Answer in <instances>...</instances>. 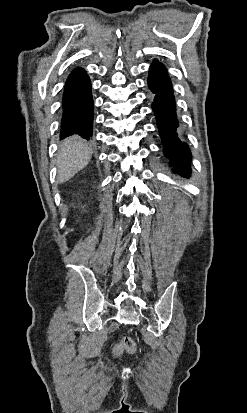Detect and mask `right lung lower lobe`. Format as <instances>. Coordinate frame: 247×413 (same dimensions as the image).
<instances>
[{"label":"right lung lower lobe","mask_w":247,"mask_h":413,"mask_svg":"<svg viewBox=\"0 0 247 413\" xmlns=\"http://www.w3.org/2000/svg\"><path fill=\"white\" fill-rule=\"evenodd\" d=\"M93 108L90 79L84 69L77 68L64 87L60 138L78 134L88 140L93 132Z\"/></svg>","instance_id":"98d812e1"}]
</instances>
